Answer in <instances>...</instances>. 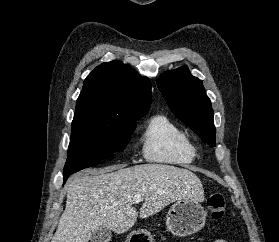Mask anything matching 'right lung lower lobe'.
<instances>
[{"mask_svg":"<svg viewBox=\"0 0 279 242\" xmlns=\"http://www.w3.org/2000/svg\"><path fill=\"white\" fill-rule=\"evenodd\" d=\"M68 178V177H67ZM67 178H64V182L67 180Z\"/></svg>","mask_w":279,"mask_h":242,"instance_id":"1","label":"right lung lower lobe"}]
</instances>
